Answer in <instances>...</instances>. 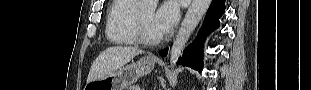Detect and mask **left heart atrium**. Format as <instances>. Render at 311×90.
Wrapping results in <instances>:
<instances>
[{"mask_svg":"<svg viewBox=\"0 0 311 90\" xmlns=\"http://www.w3.org/2000/svg\"><path fill=\"white\" fill-rule=\"evenodd\" d=\"M179 8L176 1H165L155 12L152 20L153 28L162 36L177 23Z\"/></svg>","mask_w":311,"mask_h":90,"instance_id":"obj_1","label":"left heart atrium"}]
</instances>
